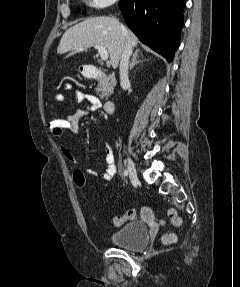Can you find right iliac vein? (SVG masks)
<instances>
[{"mask_svg": "<svg viewBox=\"0 0 240 287\" xmlns=\"http://www.w3.org/2000/svg\"><path fill=\"white\" fill-rule=\"evenodd\" d=\"M127 163H128L129 176L133 182L137 183L138 182L137 171L132 159L129 156H127Z\"/></svg>", "mask_w": 240, "mask_h": 287, "instance_id": "63e3f726", "label": "right iliac vein"}]
</instances>
